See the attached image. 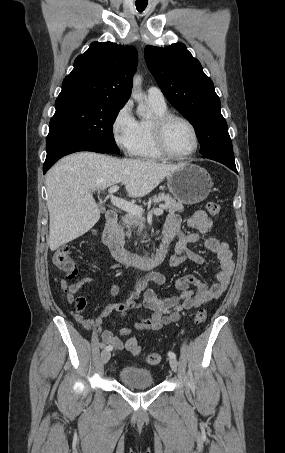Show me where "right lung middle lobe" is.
<instances>
[{
	"label": "right lung middle lobe",
	"mask_w": 285,
	"mask_h": 453,
	"mask_svg": "<svg viewBox=\"0 0 285 453\" xmlns=\"http://www.w3.org/2000/svg\"><path fill=\"white\" fill-rule=\"evenodd\" d=\"M124 104L103 99H70L55 102L50 123H60L107 153H119L113 123Z\"/></svg>",
	"instance_id": "right-lung-middle-lobe-1"
}]
</instances>
